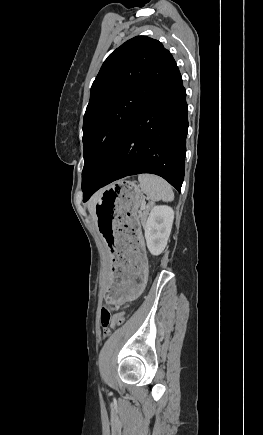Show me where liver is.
<instances>
[{"label":"liver","instance_id":"obj_1","mask_svg":"<svg viewBox=\"0 0 263 435\" xmlns=\"http://www.w3.org/2000/svg\"><path fill=\"white\" fill-rule=\"evenodd\" d=\"M88 210H89L91 216L93 217V219H96V216H95V209H94L92 203H89V205H88Z\"/></svg>","mask_w":263,"mask_h":435}]
</instances>
